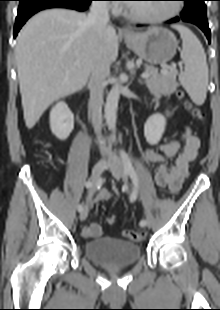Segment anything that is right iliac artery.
<instances>
[{
	"instance_id": "82829eb1",
	"label": "right iliac artery",
	"mask_w": 220,
	"mask_h": 310,
	"mask_svg": "<svg viewBox=\"0 0 220 310\" xmlns=\"http://www.w3.org/2000/svg\"><path fill=\"white\" fill-rule=\"evenodd\" d=\"M85 186H86V188H90L92 186L91 181H87L85 183ZM77 209H78L79 212H81L83 210V206L82 205H78Z\"/></svg>"
}]
</instances>
